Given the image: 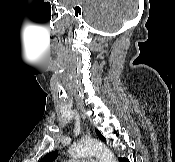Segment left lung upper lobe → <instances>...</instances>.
<instances>
[{"label": "left lung upper lobe", "instance_id": "obj_1", "mask_svg": "<svg viewBox=\"0 0 175 162\" xmlns=\"http://www.w3.org/2000/svg\"><path fill=\"white\" fill-rule=\"evenodd\" d=\"M96 134L101 140L106 141V139L102 136V134L98 130H96ZM57 155L58 151L50 152L47 155H45L39 162H53L57 157Z\"/></svg>", "mask_w": 175, "mask_h": 162}]
</instances>
